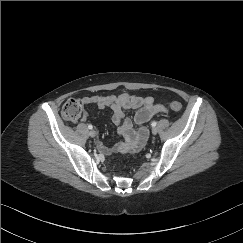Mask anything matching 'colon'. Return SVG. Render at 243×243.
I'll return each instance as SVG.
<instances>
[{
  "mask_svg": "<svg viewBox=\"0 0 243 243\" xmlns=\"http://www.w3.org/2000/svg\"><path fill=\"white\" fill-rule=\"evenodd\" d=\"M168 106L174 112H180L182 110V104L178 101H172ZM82 110L83 105L80 100L68 99L61 108V117L66 121L75 122L81 115Z\"/></svg>",
  "mask_w": 243,
  "mask_h": 243,
  "instance_id": "5ec220e1",
  "label": "colon"
}]
</instances>
